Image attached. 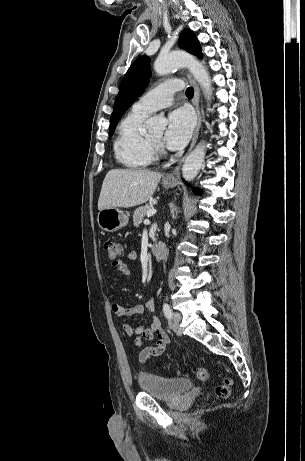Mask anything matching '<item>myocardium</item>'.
Here are the masks:
<instances>
[{
    "instance_id": "1",
    "label": "myocardium",
    "mask_w": 305,
    "mask_h": 461,
    "mask_svg": "<svg viewBox=\"0 0 305 461\" xmlns=\"http://www.w3.org/2000/svg\"><path fill=\"white\" fill-rule=\"evenodd\" d=\"M148 143L155 156L162 155L164 153L162 144L155 142L150 136H148Z\"/></svg>"
}]
</instances>
